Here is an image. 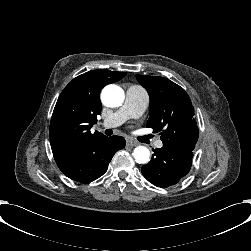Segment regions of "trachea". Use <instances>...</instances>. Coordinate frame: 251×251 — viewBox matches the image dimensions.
I'll list each match as a JSON object with an SVG mask.
<instances>
[{
	"mask_svg": "<svg viewBox=\"0 0 251 251\" xmlns=\"http://www.w3.org/2000/svg\"><path fill=\"white\" fill-rule=\"evenodd\" d=\"M105 133H106L108 136H110V135H112V130L106 129V130H105Z\"/></svg>",
	"mask_w": 251,
	"mask_h": 251,
	"instance_id": "obj_1",
	"label": "trachea"
}]
</instances>
